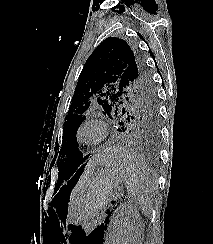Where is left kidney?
<instances>
[{"label": "left kidney", "mask_w": 213, "mask_h": 244, "mask_svg": "<svg viewBox=\"0 0 213 244\" xmlns=\"http://www.w3.org/2000/svg\"><path fill=\"white\" fill-rule=\"evenodd\" d=\"M139 227L131 217L129 207H122L113 219L107 244H137Z\"/></svg>", "instance_id": "obj_1"}]
</instances>
